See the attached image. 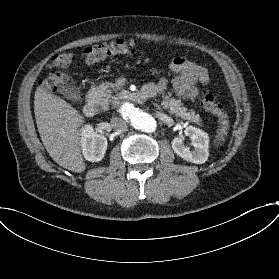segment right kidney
Masks as SVG:
<instances>
[{
    "instance_id": "1",
    "label": "right kidney",
    "mask_w": 279,
    "mask_h": 279,
    "mask_svg": "<svg viewBox=\"0 0 279 279\" xmlns=\"http://www.w3.org/2000/svg\"><path fill=\"white\" fill-rule=\"evenodd\" d=\"M81 136L85 159L91 162L101 161L107 149V139L103 135L96 134L89 125L82 128Z\"/></svg>"
}]
</instances>
